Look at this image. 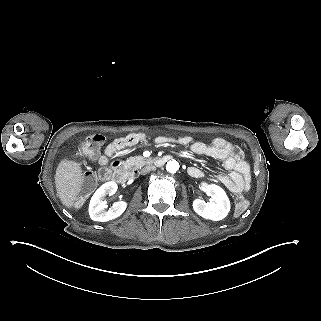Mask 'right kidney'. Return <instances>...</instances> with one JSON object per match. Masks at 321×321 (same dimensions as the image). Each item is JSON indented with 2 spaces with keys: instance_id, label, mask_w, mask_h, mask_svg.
I'll use <instances>...</instances> for the list:
<instances>
[{
  "instance_id": "1",
  "label": "right kidney",
  "mask_w": 321,
  "mask_h": 321,
  "mask_svg": "<svg viewBox=\"0 0 321 321\" xmlns=\"http://www.w3.org/2000/svg\"><path fill=\"white\" fill-rule=\"evenodd\" d=\"M117 188V184L110 181L104 183L96 190L89 204V215L93 221L106 222L119 217L125 211L127 203L124 201L115 202L109 210H105L107 205L106 202L103 201L104 197L108 194H115Z\"/></svg>"
}]
</instances>
